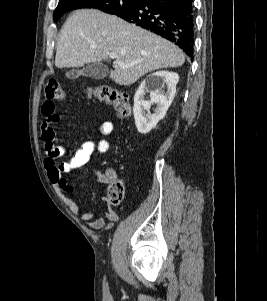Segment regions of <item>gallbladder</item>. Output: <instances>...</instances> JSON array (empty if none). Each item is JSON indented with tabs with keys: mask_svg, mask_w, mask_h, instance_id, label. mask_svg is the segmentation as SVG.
I'll return each instance as SVG.
<instances>
[{
	"mask_svg": "<svg viewBox=\"0 0 267 301\" xmlns=\"http://www.w3.org/2000/svg\"><path fill=\"white\" fill-rule=\"evenodd\" d=\"M109 73L107 66L102 63H90L86 66L79 68H73L66 73V77L69 79H77L79 76L90 77L92 79L100 80L104 79Z\"/></svg>",
	"mask_w": 267,
	"mask_h": 301,
	"instance_id": "1",
	"label": "gallbladder"
}]
</instances>
